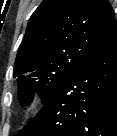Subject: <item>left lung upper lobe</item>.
<instances>
[{"instance_id": "5c2ea615", "label": "left lung upper lobe", "mask_w": 117, "mask_h": 136, "mask_svg": "<svg viewBox=\"0 0 117 136\" xmlns=\"http://www.w3.org/2000/svg\"><path fill=\"white\" fill-rule=\"evenodd\" d=\"M116 26L107 0H43L31 15L14 65L18 101L43 103Z\"/></svg>"}]
</instances>
